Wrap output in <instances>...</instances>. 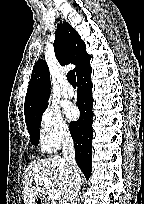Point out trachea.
Here are the masks:
<instances>
[{
    "label": "trachea",
    "mask_w": 144,
    "mask_h": 204,
    "mask_svg": "<svg viewBox=\"0 0 144 204\" xmlns=\"http://www.w3.org/2000/svg\"><path fill=\"white\" fill-rule=\"evenodd\" d=\"M67 80L69 81V83L73 86V87H76V75L74 73V71H69L67 73Z\"/></svg>",
    "instance_id": "obj_1"
}]
</instances>
